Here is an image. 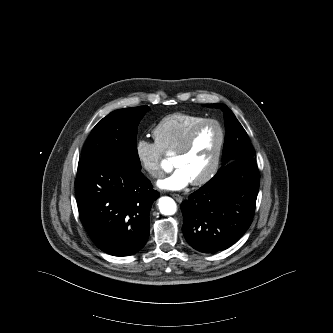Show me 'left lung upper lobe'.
Here are the masks:
<instances>
[{"instance_id": "1", "label": "left lung upper lobe", "mask_w": 333, "mask_h": 333, "mask_svg": "<svg viewBox=\"0 0 333 333\" xmlns=\"http://www.w3.org/2000/svg\"><path fill=\"white\" fill-rule=\"evenodd\" d=\"M205 106L220 108L224 112L226 134L223 147V164L226 165L240 158L253 157L255 151L250 144L246 131L233 112L223 104H205Z\"/></svg>"}]
</instances>
